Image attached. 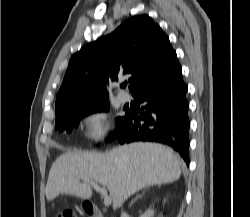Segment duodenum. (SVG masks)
<instances>
[{"instance_id":"1","label":"duodenum","mask_w":250,"mask_h":217,"mask_svg":"<svg viewBox=\"0 0 250 217\" xmlns=\"http://www.w3.org/2000/svg\"><path fill=\"white\" fill-rule=\"evenodd\" d=\"M84 210L89 217H105L101 209L94 204L86 203L84 205Z\"/></svg>"}]
</instances>
